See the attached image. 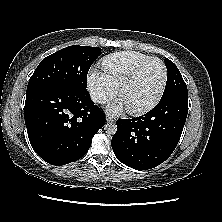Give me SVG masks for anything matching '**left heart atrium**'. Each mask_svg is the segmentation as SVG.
Listing matches in <instances>:
<instances>
[{
	"mask_svg": "<svg viewBox=\"0 0 222 222\" xmlns=\"http://www.w3.org/2000/svg\"><path fill=\"white\" fill-rule=\"evenodd\" d=\"M126 107L122 98L116 99L108 106V111L111 113H119Z\"/></svg>",
	"mask_w": 222,
	"mask_h": 222,
	"instance_id": "left-heart-atrium-1",
	"label": "left heart atrium"
}]
</instances>
